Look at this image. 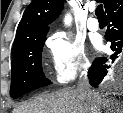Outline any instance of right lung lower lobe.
Wrapping results in <instances>:
<instances>
[{
    "label": "right lung lower lobe",
    "mask_w": 123,
    "mask_h": 113,
    "mask_svg": "<svg viewBox=\"0 0 123 113\" xmlns=\"http://www.w3.org/2000/svg\"><path fill=\"white\" fill-rule=\"evenodd\" d=\"M106 13L111 23L106 31L105 38L111 42V49L114 54L111 59L114 61L123 47V0H112ZM107 59L96 58L89 69L88 78L91 86L97 87L107 74Z\"/></svg>",
    "instance_id": "1"
}]
</instances>
